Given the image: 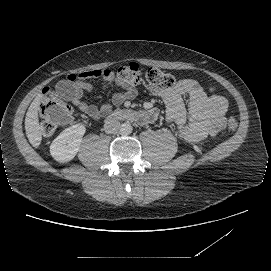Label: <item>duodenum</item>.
<instances>
[{"label":"duodenum","mask_w":271,"mask_h":271,"mask_svg":"<svg viewBox=\"0 0 271 271\" xmlns=\"http://www.w3.org/2000/svg\"><path fill=\"white\" fill-rule=\"evenodd\" d=\"M116 120L141 121L143 116L132 110H117L106 118L105 124L110 126Z\"/></svg>","instance_id":"410a0bca"}]
</instances>
